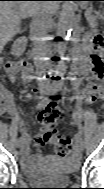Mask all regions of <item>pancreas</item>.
<instances>
[{"instance_id":"pancreas-1","label":"pancreas","mask_w":104,"mask_h":189,"mask_svg":"<svg viewBox=\"0 0 104 189\" xmlns=\"http://www.w3.org/2000/svg\"><path fill=\"white\" fill-rule=\"evenodd\" d=\"M87 19L89 21H94L96 19V17L95 16H89V15H87Z\"/></svg>"}]
</instances>
